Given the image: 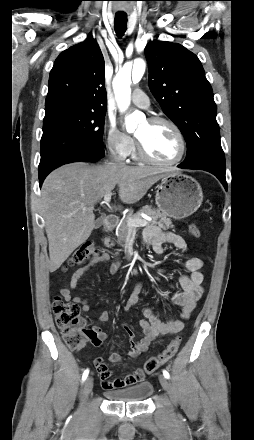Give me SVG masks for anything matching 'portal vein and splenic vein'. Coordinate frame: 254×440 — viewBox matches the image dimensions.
Instances as JSON below:
<instances>
[{"instance_id":"1","label":"portal vein and splenic vein","mask_w":254,"mask_h":440,"mask_svg":"<svg viewBox=\"0 0 254 440\" xmlns=\"http://www.w3.org/2000/svg\"><path fill=\"white\" fill-rule=\"evenodd\" d=\"M111 196V192L106 193L104 196V203L108 204L111 201ZM127 224L131 227H144L148 225V222L144 219H133L129 217L127 219Z\"/></svg>"}]
</instances>
